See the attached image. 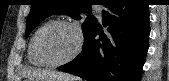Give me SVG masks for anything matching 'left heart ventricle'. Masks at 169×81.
Returning <instances> with one entry per match:
<instances>
[{"label":"left heart ventricle","instance_id":"obj_1","mask_svg":"<svg viewBox=\"0 0 169 81\" xmlns=\"http://www.w3.org/2000/svg\"><path fill=\"white\" fill-rule=\"evenodd\" d=\"M77 35L74 29L59 25L51 28L42 38V51L46 59L57 62L67 58L75 49Z\"/></svg>","mask_w":169,"mask_h":81}]
</instances>
